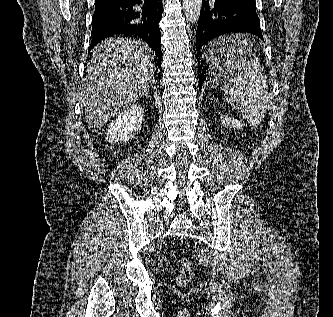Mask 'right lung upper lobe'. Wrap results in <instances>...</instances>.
I'll list each match as a JSON object with an SVG mask.
<instances>
[{
  "instance_id": "cb5924a9",
  "label": "right lung upper lobe",
  "mask_w": 333,
  "mask_h": 317,
  "mask_svg": "<svg viewBox=\"0 0 333 317\" xmlns=\"http://www.w3.org/2000/svg\"><path fill=\"white\" fill-rule=\"evenodd\" d=\"M114 0H95V3H107V2H111Z\"/></svg>"
}]
</instances>
